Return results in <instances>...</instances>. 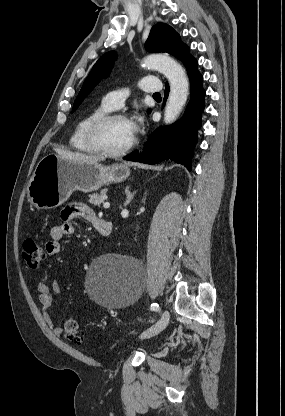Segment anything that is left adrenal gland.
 Segmentation results:
<instances>
[{
    "label": "left adrenal gland",
    "instance_id": "a2214340",
    "mask_svg": "<svg viewBox=\"0 0 285 416\" xmlns=\"http://www.w3.org/2000/svg\"><path fill=\"white\" fill-rule=\"evenodd\" d=\"M125 194H126L127 198H126V202H125L124 206H128V204H130L131 200H133V196H134V194H136V192H133V194H131V192H129V186H127V188L125 190Z\"/></svg>",
    "mask_w": 285,
    "mask_h": 416
}]
</instances>
